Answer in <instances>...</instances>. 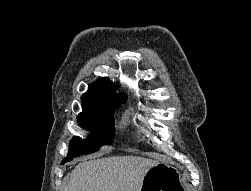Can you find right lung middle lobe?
Listing matches in <instances>:
<instances>
[{
    "label": "right lung middle lobe",
    "instance_id": "dd1d6c3e",
    "mask_svg": "<svg viewBox=\"0 0 251 191\" xmlns=\"http://www.w3.org/2000/svg\"><path fill=\"white\" fill-rule=\"evenodd\" d=\"M121 104L109 107H97L83 109L77 117L79 126L94 131L87 140L80 137H73L69 143L68 156L62 163L70 161L80 153H91L98 151L102 145H111L114 138V110Z\"/></svg>",
    "mask_w": 251,
    "mask_h": 191
}]
</instances>
